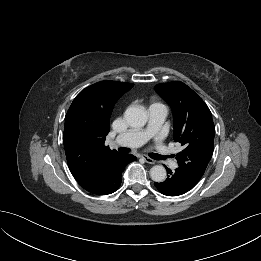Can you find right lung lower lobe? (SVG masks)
I'll return each mask as SVG.
<instances>
[{
    "label": "right lung lower lobe",
    "instance_id": "right-lung-lower-lobe-1",
    "mask_svg": "<svg viewBox=\"0 0 261 261\" xmlns=\"http://www.w3.org/2000/svg\"><path fill=\"white\" fill-rule=\"evenodd\" d=\"M136 160L133 155H117L104 163L87 181L79 183L85 190L96 195L115 192L121 184V175L127 164Z\"/></svg>",
    "mask_w": 261,
    "mask_h": 261
}]
</instances>
